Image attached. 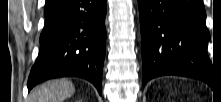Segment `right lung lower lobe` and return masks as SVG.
I'll list each match as a JSON object with an SVG mask.
<instances>
[{
    "mask_svg": "<svg viewBox=\"0 0 221 102\" xmlns=\"http://www.w3.org/2000/svg\"><path fill=\"white\" fill-rule=\"evenodd\" d=\"M106 10V0H56L45 8L40 51L28 91L48 79L80 77L102 94Z\"/></svg>",
    "mask_w": 221,
    "mask_h": 102,
    "instance_id": "1",
    "label": "right lung lower lobe"
}]
</instances>
